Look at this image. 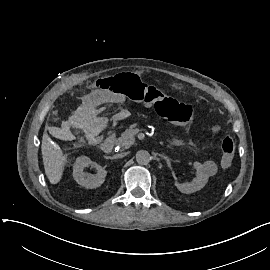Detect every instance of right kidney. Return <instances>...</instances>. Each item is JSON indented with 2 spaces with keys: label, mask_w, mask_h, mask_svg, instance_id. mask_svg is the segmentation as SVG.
Here are the masks:
<instances>
[{
  "label": "right kidney",
  "mask_w": 270,
  "mask_h": 270,
  "mask_svg": "<svg viewBox=\"0 0 270 270\" xmlns=\"http://www.w3.org/2000/svg\"><path fill=\"white\" fill-rule=\"evenodd\" d=\"M93 165L96 168L97 174L87 175L83 172L85 167ZM106 170L95 162H92L87 156L77 157L73 165V177L78 184L89 189L99 187L105 180Z\"/></svg>",
  "instance_id": "1"
}]
</instances>
